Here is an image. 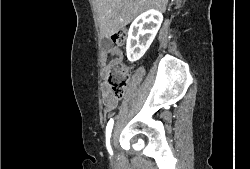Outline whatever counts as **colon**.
<instances>
[{
  "label": "colon",
  "instance_id": "1",
  "mask_svg": "<svg viewBox=\"0 0 250 169\" xmlns=\"http://www.w3.org/2000/svg\"><path fill=\"white\" fill-rule=\"evenodd\" d=\"M126 33L120 31L112 34V43L117 46H123L126 43ZM130 78V69L126 65L115 66L111 68L106 77L107 86L111 96L115 99H121L126 92Z\"/></svg>",
  "mask_w": 250,
  "mask_h": 169
}]
</instances>
